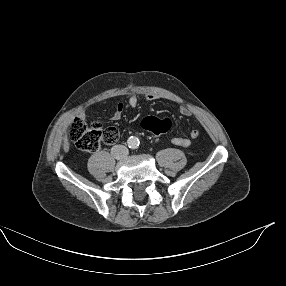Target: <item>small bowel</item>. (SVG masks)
I'll return each mask as SVG.
<instances>
[{
	"mask_svg": "<svg viewBox=\"0 0 286 286\" xmlns=\"http://www.w3.org/2000/svg\"><path fill=\"white\" fill-rule=\"evenodd\" d=\"M145 98L148 101H155V100L159 99V96L157 94H154V93H148V94H146ZM127 104H128V106H130L132 108L137 107L139 104L138 97L136 95L129 96ZM124 108H125V106L123 103L117 104L115 112L112 116V119L113 120H119L123 114ZM180 113L184 116H190L191 115V111L186 107H182L180 109ZM81 118H84L83 114L81 115ZM198 135H199V132L197 130H192L189 134V137H173L171 139V142H172V144H174L176 146L187 148L191 145L192 140H195L198 137Z\"/></svg>",
	"mask_w": 286,
	"mask_h": 286,
	"instance_id": "c3829d8e",
	"label": "small bowel"
}]
</instances>
